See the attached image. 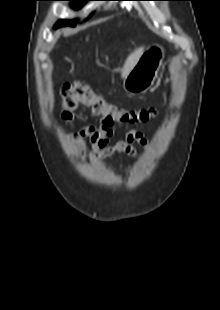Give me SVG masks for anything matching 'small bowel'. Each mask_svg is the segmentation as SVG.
<instances>
[{
    "label": "small bowel",
    "mask_w": 220,
    "mask_h": 310,
    "mask_svg": "<svg viewBox=\"0 0 220 310\" xmlns=\"http://www.w3.org/2000/svg\"><path fill=\"white\" fill-rule=\"evenodd\" d=\"M112 135V128L101 125L99 128L88 126L77 133H74L70 139L81 146H84L85 140L88 138L94 146L92 158L108 157L115 153H123L132 158H139L140 153L135 148L134 143L144 148L148 147V141L144 135L137 130L128 132L126 139L119 141L114 145H108V137Z\"/></svg>",
    "instance_id": "obj_1"
}]
</instances>
